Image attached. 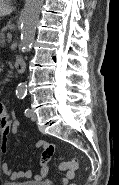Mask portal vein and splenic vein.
<instances>
[{
    "instance_id": "18ae733b",
    "label": "portal vein and splenic vein",
    "mask_w": 119,
    "mask_h": 185,
    "mask_svg": "<svg viewBox=\"0 0 119 185\" xmlns=\"http://www.w3.org/2000/svg\"><path fill=\"white\" fill-rule=\"evenodd\" d=\"M7 38H8L9 41L12 40V35H11V33H8V34H7Z\"/></svg>"
}]
</instances>
